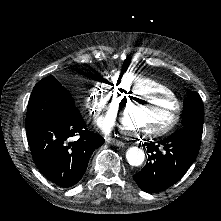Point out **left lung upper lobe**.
<instances>
[{
	"label": "left lung upper lobe",
	"instance_id": "1",
	"mask_svg": "<svg viewBox=\"0 0 221 221\" xmlns=\"http://www.w3.org/2000/svg\"><path fill=\"white\" fill-rule=\"evenodd\" d=\"M204 107L200 95L190 91L183 103L182 128H188L202 134Z\"/></svg>",
	"mask_w": 221,
	"mask_h": 221
}]
</instances>
